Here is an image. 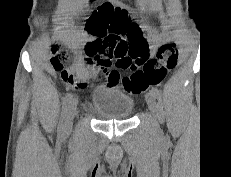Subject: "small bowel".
<instances>
[{"instance_id": "small-bowel-1", "label": "small bowel", "mask_w": 231, "mask_h": 177, "mask_svg": "<svg viewBox=\"0 0 231 177\" xmlns=\"http://www.w3.org/2000/svg\"><path fill=\"white\" fill-rule=\"evenodd\" d=\"M108 3L113 5L114 7H118L121 10H124L127 14L129 13L127 6L122 2H117V0H111V2H108ZM163 21H164V19H163ZM137 26H138L140 32L142 33V35H143L144 31H146V32H148V34L152 38L153 43L149 47V53L152 56L155 55L157 52L158 46H159L158 45L159 37L157 36L155 31L153 29H151L149 26H142V27H140L139 25H137ZM82 62L88 68H99V69H103L104 71L107 70V68H103V67L99 66L96 63V61L89 56L84 58ZM61 78L64 82H66L69 85H74L76 87H83L85 85V82L81 79H78L72 70H67V71L62 72ZM107 81H108V85H111V86L117 84V81L111 80V79H109V77H108Z\"/></svg>"}]
</instances>
